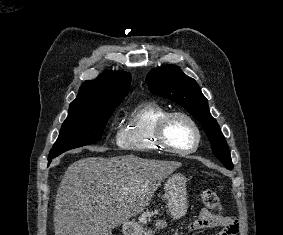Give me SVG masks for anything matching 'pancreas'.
I'll return each mask as SVG.
<instances>
[{
  "instance_id": "pancreas-1",
  "label": "pancreas",
  "mask_w": 283,
  "mask_h": 235,
  "mask_svg": "<svg viewBox=\"0 0 283 235\" xmlns=\"http://www.w3.org/2000/svg\"><path fill=\"white\" fill-rule=\"evenodd\" d=\"M158 214V211L155 210L154 212H149L148 210L144 212L139 218L138 221L141 224H145L147 220H150V218L154 215Z\"/></svg>"
}]
</instances>
